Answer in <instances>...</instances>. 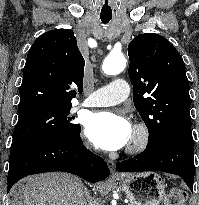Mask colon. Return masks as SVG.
<instances>
[{"mask_svg":"<svg viewBox=\"0 0 199 205\" xmlns=\"http://www.w3.org/2000/svg\"><path fill=\"white\" fill-rule=\"evenodd\" d=\"M184 200V192L180 188H173L166 196L163 205H181Z\"/></svg>","mask_w":199,"mask_h":205,"instance_id":"obj_1","label":"colon"}]
</instances>
